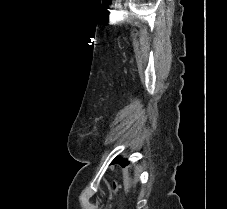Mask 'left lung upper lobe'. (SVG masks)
Wrapping results in <instances>:
<instances>
[{
    "mask_svg": "<svg viewBox=\"0 0 227 209\" xmlns=\"http://www.w3.org/2000/svg\"><path fill=\"white\" fill-rule=\"evenodd\" d=\"M120 161H121V158L116 157V158L113 160V163H120Z\"/></svg>",
    "mask_w": 227,
    "mask_h": 209,
    "instance_id": "obj_1",
    "label": "left lung upper lobe"
}]
</instances>
